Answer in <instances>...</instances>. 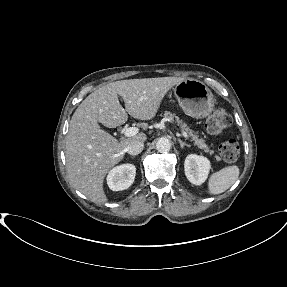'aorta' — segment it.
I'll use <instances>...</instances> for the list:
<instances>
[{
    "mask_svg": "<svg viewBox=\"0 0 287 287\" xmlns=\"http://www.w3.org/2000/svg\"><path fill=\"white\" fill-rule=\"evenodd\" d=\"M156 149L159 153H167L171 150V142L167 138H160L156 142Z\"/></svg>",
    "mask_w": 287,
    "mask_h": 287,
    "instance_id": "obj_1",
    "label": "aorta"
}]
</instances>
